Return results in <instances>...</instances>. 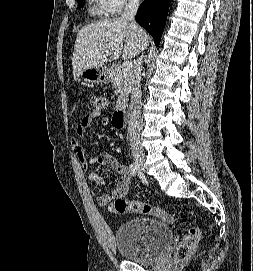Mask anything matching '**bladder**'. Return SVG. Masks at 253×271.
<instances>
[{
    "instance_id": "31cf9c89",
    "label": "bladder",
    "mask_w": 253,
    "mask_h": 271,
    "mask_svg": "<svg viewBox=\"0 0 253 271\" xmlns=\"http://www.w3.org/2000/svg\"><path fill=\"white\" fill-rule=\"evenodd\" d=\"M172 240L168 224L151 218H134L121 224L115 233V243L122 258L135 262H150L163 254Z\"/></svg>"
}]
</instances>
